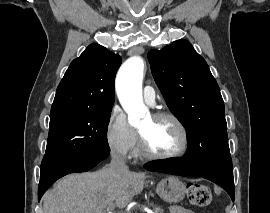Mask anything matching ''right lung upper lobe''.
<instances>
[{
	"label": "right lung upper lobe",
	"instance_id": "cb5924a9",
	"mask_svg": "<svg viewBox=\"0 0 270 213\" xmlns=\"http://www.w3.org/2000/svg\"><path fill=\"white\" fill-rule=\"evenodd\" d=\"M121 57L91 44L74 59L57 87L51 111L64 109L111 110L114 80Z\"/></svg>",
	"mask_w": 270,
	"mask_h": 213
}]
</instances>
